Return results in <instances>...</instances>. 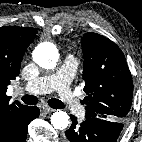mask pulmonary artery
<instances>
[{
	"label": "pulmonary artery",
	"mask_w": 142,
	"mask_h": 142,
	"mask_svg": "<svg viewBox=\"0 0 142 142\" xmlns=\"http://www.w3.org/2000/svg\"><path fill=\"white\" fill-rule=\"evenodd\" d=\"M77 66L76 58L69 54L56 73L27 82L23 86V90L31 94H45L56 91L68 111L73 115L80 116L84 108L70 89V82Z\"/></svg>",
	"instance_id": "e3ab8cb5"
}]
</instances>
